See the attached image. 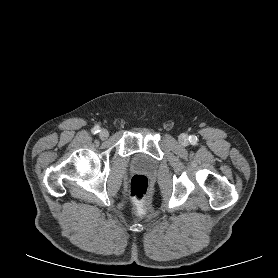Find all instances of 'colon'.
<instances>
[{
	"label": "colon",
	"instance_id": "colon-1",
	"mask_svg": "<svg viewBox=\"0 0 278 278\" xmlns=\"http://www.w3.org/2000/svg\"><path fill=\"white\" fill-rule=\"evenodd\" d=\"M129 195L138 207H144L150 195L148 178L144 175L133 176L129 184Z\"/></svg>",
	"mask_w": 278,
	"mask_h": 278
}]
</instances>
